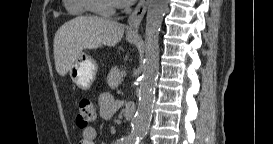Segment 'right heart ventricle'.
Here are the masks:
<instances>
[{
	"label": "right heart ventricle",
	"instance_id": "right-heart-ventricle-1",
	"mask_svg": "<svg viewBox=\"0 0 273 144\" xmlns=\"http://www.w3.org/2000/svg\"><path fill=\"white\" fill-rule=\"evenodd\" d=\"M66 12L74 17L85 15L88 11L87 0H64Z\"/></svg>",
	"mask_w": 273,
	"mask_h": 144
}]
</instances>
